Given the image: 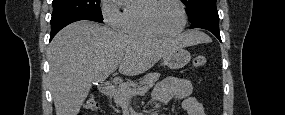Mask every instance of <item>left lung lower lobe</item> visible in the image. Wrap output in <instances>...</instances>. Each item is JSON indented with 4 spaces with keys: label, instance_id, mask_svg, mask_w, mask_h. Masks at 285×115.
I'll return each instance as SVG.
<instances>
[{
    "label": "left lung lower lobe",
    "instance_id": "obj_1",
    "mask_svg": "<svg viewBox=\"0 0 285 115\" xmlns=\"http://www.w3.org/2000/svg\"><path fill=\"white\" fill-rule=\"evenodd\" d=\"M190 28H203L209 30L221 41L219 32V16L217 10L200 14L191 22Z\"/></svg>",
    "mask_w": 285,
    "mask_h": 115
}]
</instances>
